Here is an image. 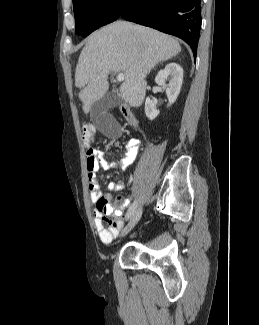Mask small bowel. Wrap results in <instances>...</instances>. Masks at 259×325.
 <instances>
[{"instance_id":"c3829d8e","label":"small bowel","mask_w":259,"mask_h":325,"mask_svg":"<svg viewBox=\"0 0 259 325\" xmlns=\"http://www.w3.org/2000/svg\"><path fill=\"white\" fill-rule=\"evenodd\" d=\"M140 146L137 138H131L127 141V152L121 160V165L127 167L135 160ZM86 165L88 172V185L90 190L91 201L96 205L94 210V225L97 230L100 241L103 244H110L117 237L119 230L123 226L124 211L129 201L124 196L116 197V204L110 202L111 195L101 191L97 175L101 167L116 168L115 162H110L106 153L95 149L88 148L86 152ZM124 188V183L119 178H113L108 185L111 192H118ZM114 215L113 219L107 220L108 227L104 226V220L108 216Z\"/></svg>"}]
</instances>
